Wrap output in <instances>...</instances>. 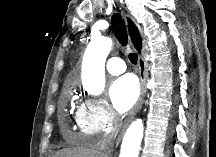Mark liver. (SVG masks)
Masks as SVG:
<instances>
[{
  "mask_svg": "<svg viewBox=\"0 0 216 157\" xmlns=\"http://www.w3.org/2000/svg\"><path fill=\"white\" fill-rule=\"evenodd\" d=\"M55 157H99L96 147H76L65 149L55 154Z\"/></svg>",
  "mask_w": 216,
  "mask_h": 157,
  "instance_id": "6515ba94",
  "label": "liver"
}]
</instances>
